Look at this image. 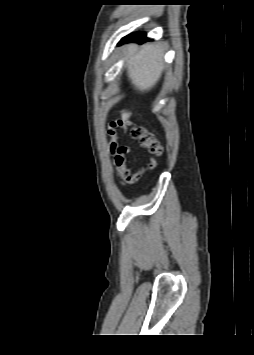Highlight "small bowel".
<instances>
[{
    "label": "small bowel",
    "mask_w": 254,
    "mask_h": 355,
    "mask_svg": "<svg viewBox=\"0 0 254 355\" xmlns=\"http://www.w3.org/2000/svg\"><path fill=\"white\" fill-rule=\"evenodd\" d=\"M127 131L128 126L125 121L119 120L112 122L108 129L110 143L108 152L112 156V162L118 171L119 179L122 184L129 185L136 183L140 177L153 170L157 162L154 158H148L147 162L141 166L136 172H131L126 163V155L132 153V149L128 145L118 143V130Z\"/></svg>",
    "instance_id": "obj_1"
}]
</instances>
